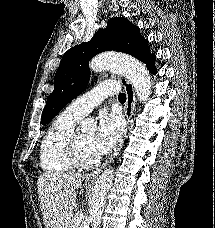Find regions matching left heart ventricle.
<instances>
[{"label":"left heart ventricle","mask_w":215,"mask_h":228,"mask_svg":"<svg viewBox=\"0 0 215 228\" xmlns=\"http://www.w3.org/2000/svg\"><path fill=\"white\" fill-rule=\"evenodd\" d=\"M77 136L82 156L87 160L97 158L98 156L95 154L92 147L94 131L81 130L77 132Z\"/></svg>","instance_id":"left-heart-ventricle-1"}]
</instances>
